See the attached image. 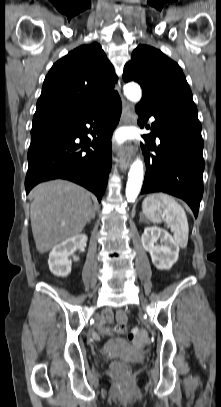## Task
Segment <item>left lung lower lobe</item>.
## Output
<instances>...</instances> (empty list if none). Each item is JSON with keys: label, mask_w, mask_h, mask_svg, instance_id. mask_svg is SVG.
Masks as SVG:
<instances>
[{"label": "left lung lower lobe", "mask_w": 221, "mask_h": 407, "mask_svg": "<svg viewBox=\"0 0 221 407\" xmlns=\"http://www.w3.org/2000/svg\"><path fill=\"white\" fill-rule=\"evenodd\" d=\"M139 123L154 116L153 134L144 135L146 173L142 194L165 192L186 201L195 217L203 195V139L197 109L179 106L152 110L136 106ZM158 137L160 145L154 140ZM144 150V146L142 145Z\"/></svg>", "instance_id": "left-lung-lower-lobe-1"}]
</instances>
